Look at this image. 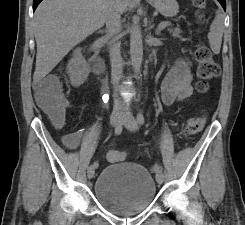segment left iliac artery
Here are the masks:
<instances>
[{
  "mask_svg": "<svg viewBox=\"0 0 245 225\" xmlns=\"http://www.w3.org/2000/svg\"><path fill=\"white\" fill-rule=\"evenodd\" d=\"M137 121L140 125H143L144 124V116H143V113L141 111L138 112L137 114ZM153 172L157 175L159 173H162V167L158 164H155L153 166Z\"/></svg>",
  "mask_w": 245,
  "mask_h": 225,
  "instance_id": "left-iliac-artery-1",
  "label": "left iliac artery"
}]
</instances>
